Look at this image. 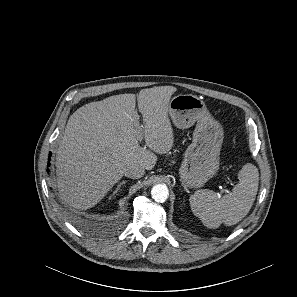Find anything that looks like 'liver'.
Wrapping results in <instances>:
<instances>
[{"label":"liver","mask_w":297,"mask_h":297,"mask_svg":"<svg viewBox=\"0 0 297 297\" xmlns=\"http://www.w3.org/2000/svg\"><path fill=\"white\" fill-rule=\"evenodd\" d=\"M176 91L173 86L142 89L137 96L141 126L135 94L114 95L77 109L58 143L57 188L61 200L78 209H89L123 177L127 166L153 169L156 154H165L173 147L168 107ZM143 138L149 149L139 145Z\"/></svg>","instance_id":"obj_1"}]
</instances>
